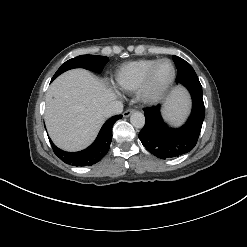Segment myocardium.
<instances>
[{"mask_svg": "<svg viewBox=\"0 0 247 247\" xmlns=\"http://www.w3.org/2000/svg\"><path fill=\"white\" fill-rule=\"evenodd\" d=\"M162 61H167L170 63L171 68H172V74H171L170 80L167 82V84L164 87H162L161 89H159L157 91H152L149 88L150 78H151V75H152L155 67ZM175 77H176V68H175L174 63L168 58L157 59L145 71V73L141 79V82H140L138 88L136 89L137 98L139 99V101H141L142 103H145V104H154V103L158 102L168 92V90L170 89V87L172 86V84L175 80Z\"/></svg>", "mask_w": 247, "mask_h": 247, "instance_id": "1", "label": "myocardium"}]
</instances>
